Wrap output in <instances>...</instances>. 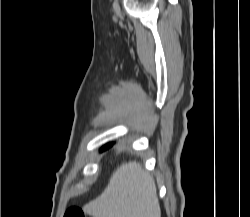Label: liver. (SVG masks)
Listing matches in <instances>:
<instances>
[{
	"label": "liver",
	"instance_id": "liver-1",
	"mask_svg": "<svg viewBox=\"0 0 250 217\" xmlns=\"http://www.w3.org/2000/svg\"><path fill=\"white\" fill-rule=\"evenodd\" d=\"M84 211L93 217H161L155 181L136 161L122 163Z\"/></svg>",
	"mask_w": 250,
	"mask_h": 217
}]
</instances>
